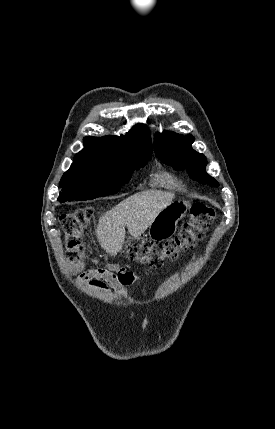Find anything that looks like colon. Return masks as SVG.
Segmentation results:
<instances>
[{"mask_svg":"<svg viewBox=\"0 0 275 429\" xmlns=\"http://www.w3.org/2000/svg\"><path fill=\"white\" fill-rule=\"evenodd\" d=\"M215 210L201 202H194L189 211V219L182 230L164 243L131 239L126 245V256L133 261L152 268L160 267L165 260H176L182 252L192 249L203 238L207 228L215 219ZM90 208H80L60 217V223L66 238V256L75 266L84 264L87 257L81 244L83 230L94 219ZM118 277H123L120 268L110 267Z\"/></svg>","mask_w":275,"mask_h":429,"instance_id":"1","label":"colon"}]
</instances>
